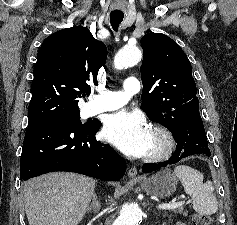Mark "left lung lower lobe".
Returning <instances> with one entry per match:
<instances>
[{
	"label": "left lung lower lobe",
	"mask_w": 237,
	"mask_h": 225,
	"mask_svg": "<svg viewBox=\"0 0 237 225\" xmlns=\"http://www.w3.org/2000/svg\"><path fill=\"white\" fill-rule=\"evenodd\" d=\"M177 143L176 151L167 161L159 164H147L142 168L143 173L151 172L159 168L180 161L182 158L194 155L205 154L210 156L207 137L199 112L190 115L187 120L172 131Z\"/></svg>",
	"instance_id": "left-lung-lower-lobe-1"
}]
</instances>
